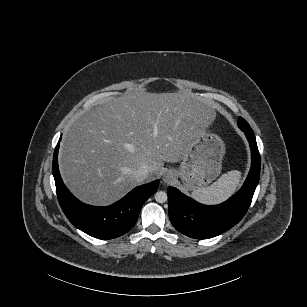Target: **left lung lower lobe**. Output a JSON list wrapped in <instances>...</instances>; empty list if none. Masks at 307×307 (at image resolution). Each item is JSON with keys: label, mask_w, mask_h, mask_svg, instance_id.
I'll list each match as a JSON object with an SVG mask.
<instances>
[{"label": "left lung lower lobe", "mask_w": 307, "mask_h": 307, "mask_svg": "<svg viewBox=\"0 0 307 307\" xmlns=\"http://www.w3.org/2000/svg\"><path fill=\"white\" fill-rule=\"evenodd\" d=\"M251 148V169L242 188L222 204L207 206L185 196L174 187L168 188L169 218L176 230L196 239L217 236L237 224L247 212L260 176V154L250 128L239 127Z\"/></svg>", "instance_id": "0a47b994"}]
</instances>
